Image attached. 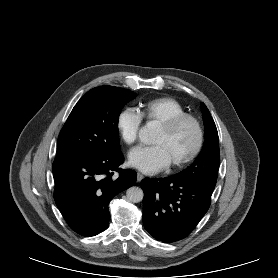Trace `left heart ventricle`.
<instances>
[{"mask_svg": "<svg viewBox=\"0 0 278 278\" xmlns=\"http://www.w3.org/2000/svg\"><path fill=\"white\" fill-rule=\"evenodd\" d=\"M195 142L196 131L189 122L184 123L171 134L160 128L153 139V144L163 147L170 164L186 156L193 149Z\"/></svg>", "mask_w": 278, "mask_h": 278, "instance_id": "b2bd125f", "label": "left heart ventricle"}]
</instances>
